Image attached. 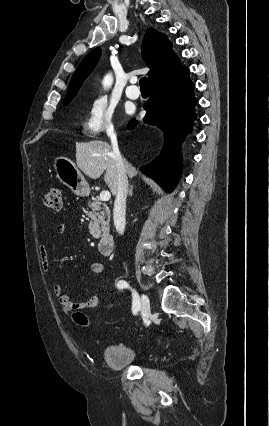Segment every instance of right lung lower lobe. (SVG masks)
<instances>
[{"mask_svg":"<svg viewBox=\"0 0 269 426\" xmlns=\"http://www.w3.org/2000/svg\"><path fill=\"white\" fill-rule=\"evenodd\" d=\"M193 90L189 70L182 65L150 85L149 99L144 105L147 113L143 121L163 131L164 144L161 154L140 169L167 192L173 191L180 178L182 156L179 145L191 132L192 123L196 119L194 107L197 101ZM138 123L132 119L128 124L129 129Z\"/></svg>","mask_w":269,"mask_h":426,"instance_id":"98d812e1","label":"right lung lower lobe"}]
</instances>
